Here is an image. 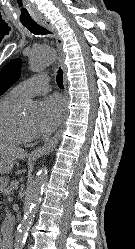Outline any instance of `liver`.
I'll list each match as a JSON object with an SVG mask.
<instances>
[{
	"mask_svg": "<svg viewBox=\"0 0 135 249\" xmlns=\"http://www.w3.org/2000/svg\"><path fill=\"white\" fill-rule=\"evenodd\" d=\"M0 152H4L5 154L13 158H19V159H23L28 156L27 152L21 148H17L14 146H7L3 144H0Z\"/></svg>",
	"mask_w": 135,
	"mask_h": 249,
	"instance_id": "liver-1",
	"label": "liver"
}]
</instances>
